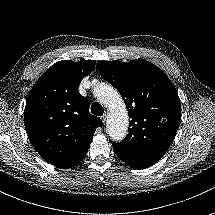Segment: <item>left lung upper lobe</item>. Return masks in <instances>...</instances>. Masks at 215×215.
I'll list each match as a JSON object with an SVG mask.
<instances>
[{
    "label": "left lung upper lobe",
    "mask_w": 215,
    "mask_h": 215,
    "mask_svg": "<svg viewBox=\"0 0 215 215\" xmlns=\"http://www.w3.org/2000/svg\"><path fill=\"white\" fill-rule=\"evenodd\" d=\"M98 70L119 91L131 119L126 138L113 144L131 153H164L181 121L180 99L165 73L141 58L98 61Z\"/></svg>",
    "instance_id": "left-lung-upper-lobe-1"
}]
</instances>
